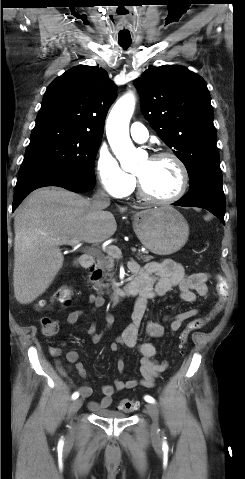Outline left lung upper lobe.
<instances>
[{
    "instance_id": "left-lung-upper-lobe-1",
    "label": "left lung upper lobe",
    "mask_w": 245,
    "mask_h": 479,
    "mask_svg": "<svg viewBox=\"0 0 245 479\" xmlns=\"http://www.w3.org/2000/svg\"><path fill=\"white\" fill-rule=\"evenodd\" d=\"M135 85L142 95V112L185 165L190 187L206 174L220 171L204 79L183 66L163 65L146 70Z\"/></svg>"
}]
</instances>
